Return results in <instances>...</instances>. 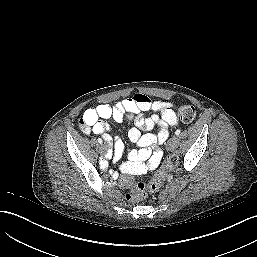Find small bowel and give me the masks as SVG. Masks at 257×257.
<instances>
[{
    "mask_svg": "<svg viewBox=\"0 0 257 257\" xmlns=\"http://www.w3.org/2000/svg\"><path fill=\"white\" fill-rule=\"evenodd\" d=\"M145 112H152V115L145 117ZM110 118L117 122L130 120L134 124L128 132V138L140 149L129 153L131 162L122 168L129 173H144L156 168L163 155L158 146L168 138L169 128L178 124L172 103L154 101L140 93L113 105L102 103L87 109L80 120V128L86 134H98L105 139L111 146L108 157H112L113 162H118L124 156L125 148L119 138L108 135ZM154 128H157L156 134L142 133L143 130Z\"/></svg>",
    "mask_w": 257,
    "mask_h": 257,
    "instance_id": "1",
    "label": "small bowel"
}]
</instances>
